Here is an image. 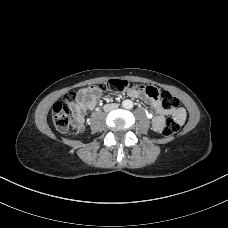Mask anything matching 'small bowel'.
Masks as SVG:
<instances>
[{
  "label": "small bowel",
  "instance_id": "1",
  "mask_svg": "<svg viewBox=\"0 0 228 228\" xmlns=\"http://www.w3.org/2000/svg\"><path fill=\"white\" fill-rule=\"evenodd\" d=\"M101 94V90L96 86H89L81 89L76 97L75 102L70 103V108L74 112L77 128L82 129L84 126V114L87 110H92L97 105V100ZM127 95L130 98H138L141 93L135 89H128ZM152 106L155 109L157 115L153 119V128L155 131H160L164 125L165 109L163 108L161 101L158 98H152ZM175 118L178 122L183 123L186 118V112L183 108H178L174 112Z\"/></svg>",
  "mask_w": 228,
  "mask_h": 228
}]
</instances>
